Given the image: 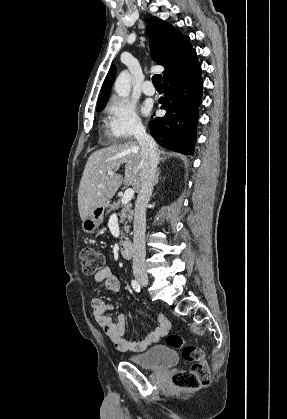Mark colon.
Masks as SVG:
<instances>
[{
  "label": "colon",
  "instance_id": "colon-1",
  "mask_svg": "<svg viewBox=\"0 0 287 419\" xmlns=\"http://www.w3.org/2000/svg\"><path fill=\"white\" fill-rule=\"evenodd\" d=\"M80 262L86 275H93L105 268L104 255L92 247H85L81 250ZM166 343L171 348L180 349L184 360L191 363L189 370H181L172 375V385L183 389H198L206 386L209 382L210 371L204 351L177 334H170Z\"/></svg>",
  "mask_w": 287,
  "mask_h": 419
}]
</instances>
